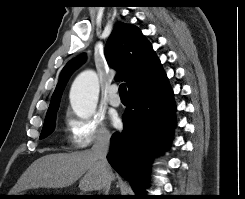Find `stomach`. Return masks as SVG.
<instances>
[{"label": "stomach", "instance_id": "obj_1", "mask_svg": "<svg viewBox=\"0 0 245 199\" xmlns=\"http://www.w3.org/2000/svg\"><path fill=\"white\" fill-rule=\"evenodd\" d=\"M12 195H29L26 193H16V194H12ZM15 199H26L27 196H14Z\"/></svg>", "mask_w": 245, "mask_h": 199}]
</instances>
